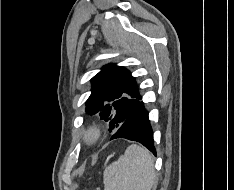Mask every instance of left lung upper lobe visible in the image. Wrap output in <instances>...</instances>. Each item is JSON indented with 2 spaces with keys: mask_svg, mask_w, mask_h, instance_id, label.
<instances>
[{
  "mask_svg": "<svg viewBox=\"0 0 234 190\" xmlns=\"http://www.w3.org/2000/svg\"><path fill=\"white\" fill-rule=\"evenodd\" d=\"M92 93L86 101V113L98 114L116 131L142 98L136 80L124 67L105 65L92 79Z\"/></svg>",
  "mask_w": 234,
  "mask_h": 190,
  "instance_id": "1",
  "label": "left lung upper lobe"
}]
</instances>
